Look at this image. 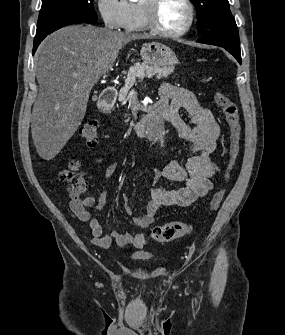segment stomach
<instances>
[{
    "instance_id": "stomach-1",
    "label": "stomach",
    "mask_w": 285,
    "mask_h": 335,
    "mask_svg": "<svg viewBox=\"0 0 285 335\" xmlns=\"http://www.w3.org/2000/svg\"><path fill=\"white\" fill-rule=\"evenodd\" d=\"M141 60L145 64H156V66H176L178 60L176 58L175 52L164 46V44H159V42H150V44H143L140 52Z\"/></svg>"
}]
</instances>
